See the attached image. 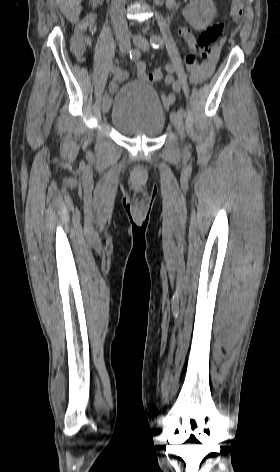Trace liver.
I'll return each instance as SVG.
<instances>
[{"label":"liver","mask_w":280,"mask_h":472,"mask_svg":"<svg viewBox=\"0 0 280 472\" xmlns=\"http://www.w3.org/2000/svg\"><path fill=\"white\" fill-rule=\"evenodd\" d=\"M63 15L71 22L77 23L82 10L81 0H57Z\"/></svg>","instance_id":"6515ba94"}]
</instances>
